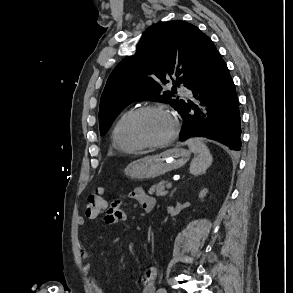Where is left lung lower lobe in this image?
Listing matches in <instances>:
<instances>
[{"label": "left lung lower lobe", "instance_id": "1", "mask_svg": "<svg viewBox=\"0 0 293 293\" xmlns=\"http://www.w3.org/2000/svg\"><path fill=\"white\" fill-rule=\"evenodd\" d=\"M189 89V96L178 109L184 119L180 140L206 137L240 150L241 120L236 89L212 41L199 81Z\"/></svg>", "mask_w": 293, "mask_h": 293}]
</instances>
